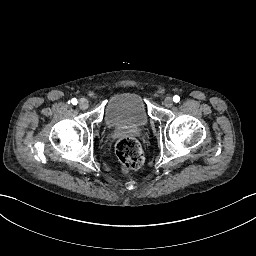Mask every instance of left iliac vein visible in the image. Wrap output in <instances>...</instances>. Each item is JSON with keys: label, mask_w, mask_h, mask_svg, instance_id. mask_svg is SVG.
I'll return each instance as SVG.
<instances>
[{"label": "left iliac vein", "mask_w": 256, "mask_h": 256, "mask_svg": "<svg viewBox=\"0 0 256 256\" xmlns=\"http://www.w3.org/2000/svg\"><path fill=\"white\" fill-rule=\"evenodd\" d=\"M164 105L166 106V107H171L172 105H173V100H172V98L171 97H166L165 99H164Z\"/></svg>", "instance_id": "left-iliac-vein-1"}]
</instances>
